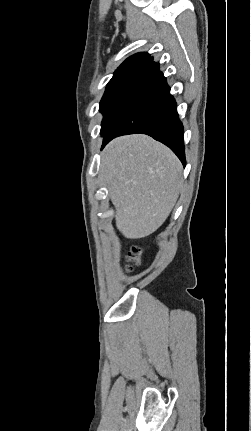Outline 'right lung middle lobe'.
<instances>
[{"label":"right lung middle lobe","instance_id":"obj_1","mask_svg":"<svg viewBox=\"0 0 251 431\" xmlns=\"http://www.w3.org/2000/svg\"><path fill=\"white\" fill-rule=\"evenodd\" d=\"M146 70L147 68L145 67L132 66L117 70L114 73L100 102V111L104 116L101 124V134L106 131Z\"/></svg>","mask_w":251,"mask_h":431}]
</instances>
